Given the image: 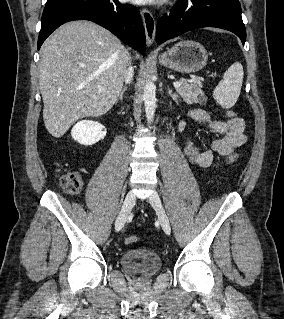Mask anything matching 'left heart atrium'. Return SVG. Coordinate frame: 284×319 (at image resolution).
<instances>
[{
    "label": "left heart atrium",
    "mask_w": 284,
    "mask_h": 319,
    "mask_svg": "<svg viewBox=\"0 0 284 319\" xmlns=\"http://www.w3.org/2000/svg\"><path fill=\"white\" fill-rule=\"evenodd\" d=\"M129 1L136 4H149V3L155 2L156 0H129Z\"/></svg>",
    "instance_id": "obj_1"
}]
</instances>
